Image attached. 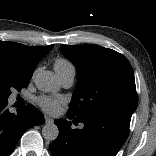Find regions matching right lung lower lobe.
<instances>
[{
	"label": "right lung lower lobe",
	"mask_w": 156,
	"mask_h": 156,
	"mask_svg": "<svg viewBox=\"0 0 156 156\" xmlns=\"http://www.w3.org/2000/svg\"><path fill=\"white\" fill-rule=\"evenodd\" d=\"M7 103V99L0 98V156H9L28 128L44 123L43 114L34 106L27 105L14 115Z\"/></svg>",
	"instance_id": "right-lung-lower-lobe-1"
}]
</instances>
